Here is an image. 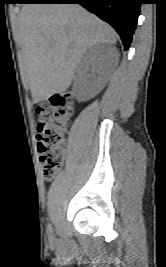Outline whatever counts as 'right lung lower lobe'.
<instances>
[{
	"instance_id": "1",
	"label": "right lung lower lobe",
	"mask_w": 166,
	"mask_h": 267,
	"mask_svg": "<svg viewBox=\"0 0 166 267\" xmlns=\"http://www.w3.org/2000/svg\"><path fill=\"white\" fill-rule=\"evenodd\" d=\"M20 3H78L109 23L130 46L142 0H20Z\"/></svg>"
}]
</instances>
